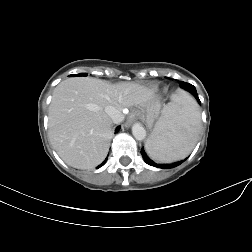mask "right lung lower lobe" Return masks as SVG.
Listing matches in <instances>:
<instances>
[{
  "instance_id": "obj_1",
  "label": "right lung lower lobe",
  "mask_w": 252,
  "mask_h": 252,
  "mask_svg": "<svg viewBox=\"0 0 252 252\" xmlns=\"http://www.w3.org/2000/svg\"><path fill=\"white\" fill-rule=\"evenodd\" d=\"M119 129H120V127H117L116 131H118ZM106 160H107V159H106ZM106 160H105L102 164H100V165L97 167V169L100 168L102 165H104L105 162H106Z\"/></svg>"
}]
</instances>
